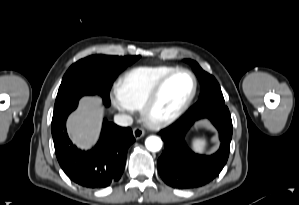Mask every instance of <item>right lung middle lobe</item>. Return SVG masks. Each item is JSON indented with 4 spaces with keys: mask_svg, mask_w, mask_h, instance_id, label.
<instances>
[{
    "mask_svg": "<svg viewBox=\"0 0 299 205\" xmlns=\"http://www.w3.org/2000/svg\"><path fill=\"white\" fill-rule=\"evenodd\" d=\"M138 56L93 55L74 63L65 73L58 90L54 106L56 114L78 101L84 95L99 94L109 100V92L114 78Z\"/></svg>",
    "mask_w": 299,
    "mask_h": 205,
    "instance_id": "1",
    "label": "right lung middle lobe"
}]
</instances>
